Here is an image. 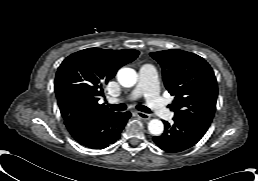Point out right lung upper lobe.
Wrapping results in <instances>:
<instances>
[{"instance_id": "right-lung-upper-lobe-1", "label": "right lung upper lobe", "mask_w": 258, "mask_h": 181, "mask_svg": "<svg viewBox=\"0 0 258 181\" xmlns=\"http://www.w3.org/2000/svg\"><path fill=\"white\" fill-rule=\"evenodd\" d=\"M137 50L88 48L68 56L55 77V93L64 120L85 113L109 114L114 111L98 100L104 95V85L117 70L134 61Z\"/></svg>"}]
</instances>
